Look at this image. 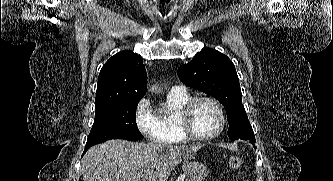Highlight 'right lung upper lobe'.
Segmentation results:
<instances>
[{"instance_id": "cb5924a9", "label": "right lung upper lobe", "mask_w": 333, "mask_h": 181, "mask_svg": "<svg viewBox=\"0 0 333 181\" xmlns=\"http://www.w3.org/2000/svg\"><path fill=\"white\" fill-rule=\"evenodd\" d=\"M146 94V71L142 58L129 51L112 56L102 67L95 109L140 100Z\"/></svg>"}]
</instances>
